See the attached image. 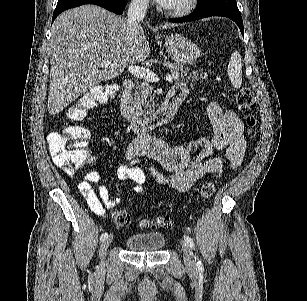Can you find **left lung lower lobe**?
<instances>
[{
	"instance_id": "left-lung-lower-lobe-1",
	"label": "left lung lower lobe",
	"mask_w": 307,
	"mask_h": 301,
	"mask_svg": "<svg viewBox=\"0 0 307 301\" xmlns=\"http://www.w3.org/2000/svg\"><path fill=\"white\" fill-rule=\"evenodd\" d=\"M211 16H223L232 19L238 25L241 33L244 35L243 21L240 12H234L229 10L208 9L204 11H195L189 16L178 19H172L170 20V22L174 23L189 22Z\"/></svg>"
}]
</instances>
